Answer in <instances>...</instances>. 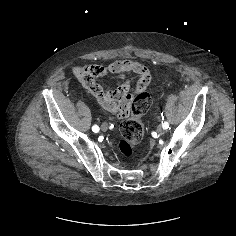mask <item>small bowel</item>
Listing matches in <instances>:
<instances>
[{
  "mask_svg": "<svg viewBox=\"0 0 236 236\" xmlns=\"http://www.w3.org/2000/svg\"><path fill=\"white\" fill-rule=\"evenodd\" d=\"M76 76L80 84L98 98L104 109L115 116L126 114L128 106L151 83V73L147 68L130 59L117 60L106 66H84L76 71ZM105 76L122 78L125 82L116 90L104 92L96 79Z\"/></svg>",
  "mask_w": 236,
  "mask_h": 236,
  "instance_id": "c3829d8e",
  "label": "small bowel"
}]
</instances>
